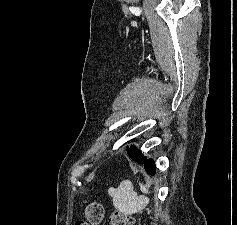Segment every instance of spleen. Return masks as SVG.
<instances>
[{
	"label": "spleen",
	"instance_id": "obj_1",
	"mask_svg": "<svg viewBox=\"0 0 237 225\" xmlns=\"http://www.w3.org/2000/svg\"><path fill=\"white\" fill-rule=\"evenodd\" d=\"M139 185L142 193H149L145 185L142 183ZM108 194L112 197L115 209L124 215H133L141 212L149 203L148 197L145 195L138 196L134 192L132 184L128 180L122 181L118 188H109Z\"/></svg>",
	"mask_w": 237,
	"mask_h": 225
}]
</instances>
